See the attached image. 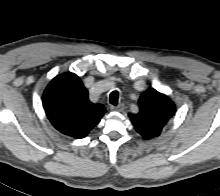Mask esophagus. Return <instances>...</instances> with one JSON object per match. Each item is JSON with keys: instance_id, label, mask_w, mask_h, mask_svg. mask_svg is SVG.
<instances>
[{"instance_id": "34e87169", "label": "esophagus", "mask_w": 220, "mask_h": 196, "mask_svg": "<svg viewBox=\"0 0 220 196\" xmlns=\"http://www.w3.org/2000/svg\"><path fill=\"white\" fill-rule=\"evenodd\" d=\"M110 109L115 112H120L124 109L123 104H119L117 106H111Z\"/></svg>"}]
</instances>
